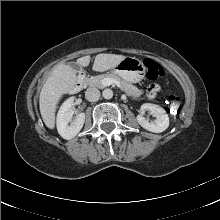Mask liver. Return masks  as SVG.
<instances>
[{"label": "liver", "mask_w": 220, "mask_h": 220, "mask_svg": "<svg viewBox=\"0 0 220 220\" xmlns=\"http://www.w3.org/2000/svg\"><path fill=\"white\" fill-rule=\"evenodd\" d=\"M125 56L101 53L95 57L92 69L104 72L114 68ZM91 57L83 56L76 64L87 67ZM76 70L69 64L56 65L45 81L39 96V107L42 119L49 129L55 127V113L57 104L64 94L71 92L77 83Z\"/></svg>", "instance_id": "obj_1"}]
</instances>
